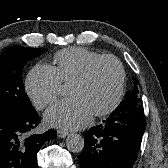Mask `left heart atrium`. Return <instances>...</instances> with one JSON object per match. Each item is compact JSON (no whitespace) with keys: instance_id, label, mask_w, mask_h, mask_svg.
I'll return each instance as SVG.
<instances>
[{"instance_id":"left-heart-atrium-1","label":"left heart atrium","mask_w":168,"mask_h":168,"mask_svg":"<svg viewBox=\"0 0 168 168\" xmlns=\"http://www.w3.org/2000/svg\"><path fill=\"white\" fill-rule=\"evenodd\" d=\"M93 116L88 104L81 97H71L53 105L45 114V121L55 127L79 129Z\"/></svg>"}]
</instances>
